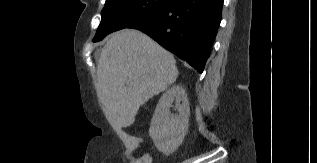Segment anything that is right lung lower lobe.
I'll list each match as a JSON object with an SVG mask.
<instances>
[{
  "mask_svg": "<svg viewBox=\"0 0 317 163\" xmlns=\"http://www.w3.org/2000/svg\"><path fill=\"white\" fill-rule=\"evenodd\" d=\"M223 2L169 0L161 9L128 28L146 33L202 73L221 21Z\"/></svg>",
  "mask_w": 317,
  "mask_h": 163,
  "instance_id": "98d812e1",
  "label": "right lung lower lobe"
}]
</instances>
